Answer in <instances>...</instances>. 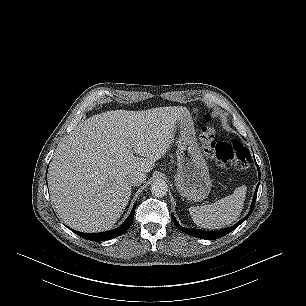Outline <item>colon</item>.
I'll return each instance as SVG.
<instances>
[{"label": "colon", "mask_w": 306, "mask_h": 306, "mask_svg": "<svg viewBox=\"0 0 306 306\" xmlns=\"http://www.w3.org/2000/svg\"><path fill=\"white\" fill-rule=\"evenodd\" d=\"M205 121L206 125L202 128L200 136L205 155L222 167L231 165L237 168L247 167L251 161L249 149L239 140H234L232 143L218 142L210 113L206 114Z\"/></svg>", "instance_id": "colon-1"}]
</instances>
